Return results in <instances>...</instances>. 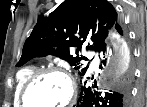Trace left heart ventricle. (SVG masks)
I'll return each mask as SVG.
<instances>
[{
	"label": "left heart ventricle",
	"mask_w": 147,
	"mask_h": 107,
	"mask_svg": "<svg viewBox=\"0 0 147 107\" xmlns=\"http://www.w3.org/2000/svg\"><path fill=\"white\" fill-rule=\"evenodd\" d=\"M70 94L69 83L60 75L41 77L30 88L27 103L30 107H57L66 102Z\"/></svg>",
	"instance_id": "left-heart-ventricle-1"
}]
</instances>
